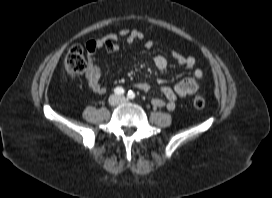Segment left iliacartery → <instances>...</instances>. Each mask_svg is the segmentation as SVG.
Wrapping results in <instances>:
<instances>
[{
	"label": "left iliac artery",
	"instance_id": "left-iliac-artery-1",
	"mask_svg": "<svg viewBox=\"0 0 272 198\" xmlns=\"http://www.w3.org/2000/svg\"><path fill=\"white\" fill-rule=\"evenodd\" d=\"M127 97L129 98V99H134L135 98V93L133 92V91H129L128 92V94H127Z\"/></svg>",
	"mask_w": 272,
	"mask_h": 198
}]
</instances>
